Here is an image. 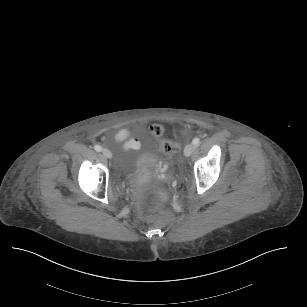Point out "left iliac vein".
I'll use <instances>...</instances> for the list:
<instances>
[{
	"mask_svg": "<svg viewBox=\"0 0 307 307\" xmlns=\"http://www.w3.org/2000/svg\"><path fill=\"white\" fill-rule=\"evenodd\" d=\"M194 151V145L193 144H188L186 145L185 149H184V155L185 156H190V154Z\"/></svg>",
	"mask_w": 307,
	"mask_h": 307,
	"instance_id": "obj_1",
	"label": "left iliac vein"
}]
</instances>
